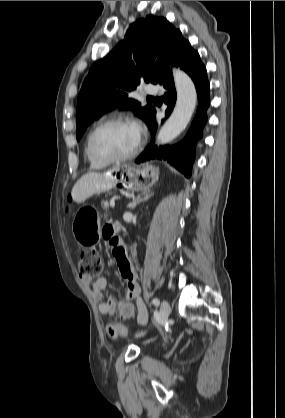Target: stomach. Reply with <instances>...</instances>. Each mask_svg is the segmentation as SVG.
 Here are the masks:
<instances>
[{
    "instance_id": "stomach-1",
    "label": "stomach",
    "mask_w": 285,
    "mask_h": 418,
    "mask_svg": "<svg viewBox=\"0 0 285 418\" xmlns=\"http://www.w3.org/2000/svg\"><path fill=\"white\" fill-rule=\"evenodd\" d=\"M116 177L127 190L144 191L152 186L159 178V169L151 164H144L139 167L127 166L121 172L116 173ZM85 214L78 211L72 222V232L75 239L85 244L89 236L98 238L100 236L99 223H88L85 220Z\"/></svg>"
}]
</instances>
